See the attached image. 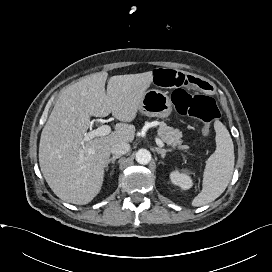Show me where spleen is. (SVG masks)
<instances>
[{"mask_svg":"<svg viewBox=\"0 0 272 272\" xmlns=\"http://www.w3.org/2000/svg\"><path fill=\"white\" fill-rule=\"evenodd\" d=\"M216 150L208 158L203 173L201 192L193 199L192 206L199 207L216 200L228 186L234 171V145L227 128L214 122Z\"/></svg>","mask_w":272,"mask_h":272,"instance_id":"3e777b00","label":"spleen"}]
</instances>
